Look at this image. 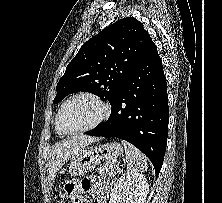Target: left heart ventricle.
Returning a JSON list of instances; mask_svg holds the SVG:
<instances>
[{"mask_svg": "<svg viewBox=\"0 0 222 203\" xmlns=\"http://www.w3.org/2000/svg\"><path fill=\"white\" fill-rule=\"evenodd\" d=\"M101 107L87 98L71 101L63 110L61 124L67 130H76L95 122L101 115Z\"/></svg>", "mask_w": 222, "mask_h": 203, "instance_id": "b2bd125f", "label": "left heart ventricle"}]
</instances>
